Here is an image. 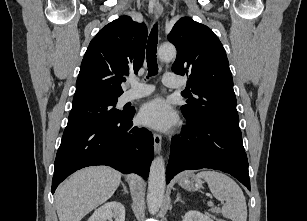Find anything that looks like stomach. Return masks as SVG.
<instances>
[{
  "mask_svg": "<svg viewBox=\"0 0 307 221\" xmlns=\"http://www.w3.org/2000/svg\"><path fill=\"white\" fill-rule=\"evenodd\" d=\"M179 185L188 191H198L203 186V181L198 175L186 172L179 177Z\"/></svg>",
  "mask_w": 307,
  "mask_h": 221,
  "instance_id": "1",
  "label": "stomach"
}]
</instances>
